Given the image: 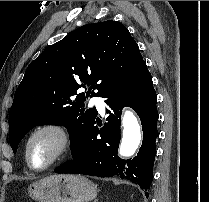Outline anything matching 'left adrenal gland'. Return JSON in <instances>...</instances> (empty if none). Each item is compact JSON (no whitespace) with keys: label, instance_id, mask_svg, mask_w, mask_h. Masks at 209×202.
<instances>
[{"label":"left adrenal gland","instance_id":"obj_1","mask_svg":"<svg viewBox=\"0 0 209 202\" xmlns=\"http://www.w3.org/2000/svg\"><path fill=\"white\" fill-rule=\"evenodd\" d=\"M94 202H98V200L96 199Z\"/></svg>","mask_w":209,"mask_h":202}]
</instances>
